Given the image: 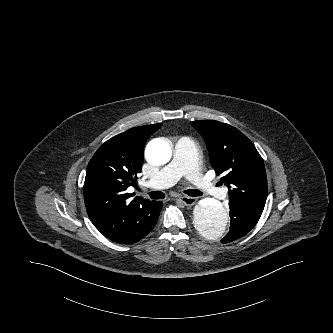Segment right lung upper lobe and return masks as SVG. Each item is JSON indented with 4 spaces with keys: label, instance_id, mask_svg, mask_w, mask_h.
<instances>
[{
    "label": "right lung upper lobe",
    "instance_id": "obj_1",
    "mask_svg": "<svg viewBox=\"0 0 333 333\" xmlns=\"http://www.w3.org/2000/svg\"><path fill=\"white\" fill-rule=\"evenodd\" d=\"M162 124L127 130L106 141L90 160L83 187L88 216L104 235L113 233L138 206L148 199L126 193L141 171L144 145Z\"/></svg>",
    "mask_w": 333,
    "mask_h": 333
}]
</instances>
